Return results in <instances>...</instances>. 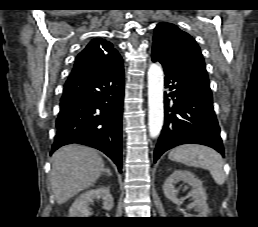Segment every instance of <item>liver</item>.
<instances>
[{"instance_id": "liver-1", "label": "liver", "mask_w": 258, "mask_h": 227, "mask_svg": "<svg viewBox=\"0 0 258 227\" xmlns=\"http://www.w3.org/2000/svg\"><path fill=\"white\" fill-rule=\"evenodd\" d=\"M51 164V188L58 204L94 185L105 170L98 152L81 145L60 148L53 154Z\"/></svg>"}]
</instances>
